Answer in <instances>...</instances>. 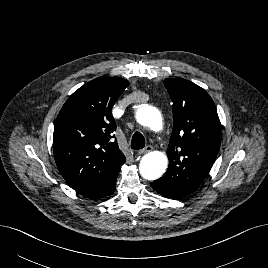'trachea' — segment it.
<instances>
[{
	"instance_id": "obj_1",
	"label": "trachea",
	"mask_w": 268,
	"mask_h": 268,
	"mask_svg": "<svg viewBox=\"0 0 268 268\" xmlns=\"http://www.w3.org/2000/svg\"><path fill=\"white\" fill-rule=\"evenodd\" d=\"M145 147V138L140 132H135L131 140V148L135 150L143 149Z\"/></svg>"
}]
</instances>
